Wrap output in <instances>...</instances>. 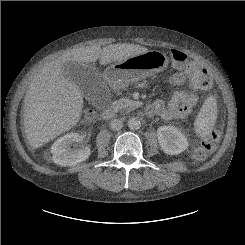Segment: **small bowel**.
<instances>
[{
    "instance_id": "small-bowel-1",
    "label": "small bowel",
    "mask_w": 245,
    "mask_h": 245,
    "mask_svg": "<svg viewBox=\"0 0 245 245\" xmlns=\"http://www.w3.org/2000/svg\"><path fill=\"white\" fill-rule=\"evenodd\" d=\"M208 74L207 70L195 62H191L181 71L172 74L170 82L173 86L181 87L188 83L191 91L177 90L168 103L156 99L148 108L151 116L158 115L165 120L185 118L199 102V93L203 90L198 83V76Z\"/></svg>"
}]
</instances>
